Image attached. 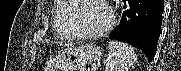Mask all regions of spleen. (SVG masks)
I'll list each match as a JSON object with an SVG mask.
<instances>
[{"label": "spleen", "instance_id": "obj_1", "mask_svg": "<svg viewBox=\"0 0 181 71\" xmlns=\"http://www.w3.org/2000/svg\"><path fill=\"white\" fill-rule=\"evenodd\" d=\"M108 62L105 71H128L137 61L134 49L118 41L108 43Z\"/></svg>", "mask_w": 181, "mask_h": 71}]
</instances>
